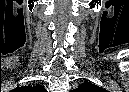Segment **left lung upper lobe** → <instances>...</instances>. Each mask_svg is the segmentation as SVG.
Here are the masks:
<instances>
[{"instance_id": "left-lung-upper-lobe-1", "label": "left lung upper lobe", "mask_w": 129, "mask_h": 92, "mask_svg": "<svg viewBox=\"0 0 129 92\" xmlns=\"http://www.w3.org/2000/svg\"><path fill=\"white\" fill-rule=\"evenodd\" d=\"M106 90L100 88L90 82L83 83L78 87L75 92H105Z\"/></svg>"}]
</instances>
